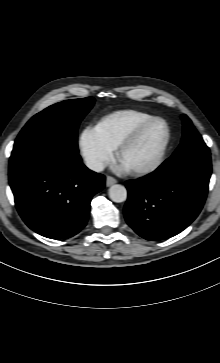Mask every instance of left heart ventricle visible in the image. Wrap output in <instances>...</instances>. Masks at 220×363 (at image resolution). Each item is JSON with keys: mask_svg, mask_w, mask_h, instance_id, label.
Here are the masks:
<instances>
[{"mask_svg": "<svg viewBox=\"0 0 220 363\" xmlns=\"http://www.w3.org/2000/svg\"><path fill=\"white\" fill-rule=\"evenodd\" d=\"M165 137L166 128L163 123L157 122L151 125L133 145L121 154L119 161L129 169L151 163L159 153Z\"/></svg>", "mask_w": 220, "mask_h": 363, "instance_id": "1", "label": "left heart ventricle"}]
</instances>
